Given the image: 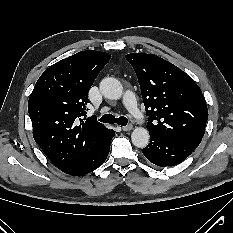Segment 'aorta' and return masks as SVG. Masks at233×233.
Masks as SVG:
<instances>
[{"instance_id":"1","label":"aorta","mask_w":233,"mask_h":233,"mask_svg":"<svg viewBox=\"0 0 233 233\" xmlns=\"http://www.w3.org/2000/svg\"><path fill=\"white\" fill-rule=\"evenodd\" d=\"M100 91L108 99H120L123 94V86L119 80L113 77L104 78L100 82ZM149 132L146 128L137 127L131 134V140L134 146L144 148L149 143Z\"/></svg>"}]
</instances>
